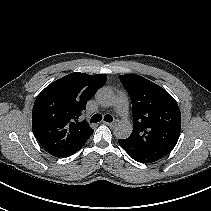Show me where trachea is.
I'll use <instances>...</instances> for the list:
<instances>
[{"label": "trachea", "instance_id": "3493384b", "mask_svg": "<svg viewBox=\"0 0 211 211\" xmlns=\"http://www.w3.org/2000/svg\"><path fill=\"white\" fill-rule=\"evenodd\" d=\"M102 120V116L100 114H95L92 116L91 118V123H97L100 122ZM104 121L106 122H112L113 121V117L111 115H105L104 116Z\"/></svg>", "mask_w": 211, "mask_h": 211}]
</instances>
